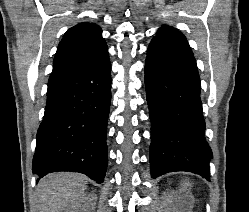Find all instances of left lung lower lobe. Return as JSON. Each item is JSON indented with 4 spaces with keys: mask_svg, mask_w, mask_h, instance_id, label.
<instances>
[{
    "mask_svg": "<svg viewBox=\"0 0 249 212\" xmlns=\"http://www.w3.org/2000/svg\"><path fill=\"white\" fill-rule=\"evenodd\" d=\"M152 178L188 171L210 179L200 78L194 56L154 43L145 62Z\"/></svg>",
    "mask_w": 249,
    "mask_h": 212,
    "instance_id": "left-lung-lower-lobe-1",
    "label": "left lung lower lobe"
}]
</instances>
